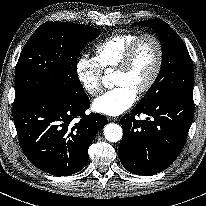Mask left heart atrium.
I'll list each match as a JSON object with an SVG mask.
<instances>
[{"instance_id": "left-heart-atrium-1", "label": "left heart atrium", "mask_w": 206, "mask_h": 206, "mask_svg": "<svg viewBox=\"0 0 206 206\" xmlns=\"http://www.w3.org/2000/svg\"><path fill=\"white\" fill-rule=\"evenodd\" d=\"M135 100V91L127 86H118L95 99L93 109L104 115L119 116L128 110Z\"/></svg>"}]
</instances>
